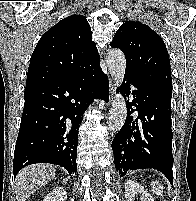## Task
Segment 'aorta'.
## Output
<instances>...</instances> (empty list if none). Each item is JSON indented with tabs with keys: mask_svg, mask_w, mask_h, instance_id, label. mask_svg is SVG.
<instances>
[{
	"mask_svg": "<svg viewBox=\"0 0 196 201\" xmlns=\"http://www.w3.org/2000/svg\"><path fill=\"white\" fill-rule=\"evenodd\" d=\"M108 71L116 83L120 87L126 69V59L124 53L120 49H112L106 57ZM127 116V106L123 95L118 92L112 102L108 114V127L112 132H118L124 125Z\"/></svg>",
	"mask_w": 196,
	"mask_h": 201,
	"instance_id": "obj_1",
	"label": "aorta"
}]
</instances>
